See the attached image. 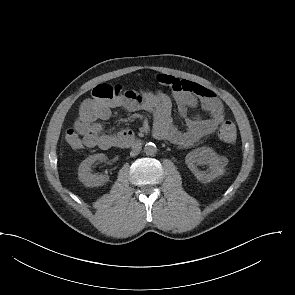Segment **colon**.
Returning <instances> with one entry per match:
<instances>
[{"instance_id":"1","label":"colon","mask_w":295,"mask_h":295,"mask_svg":"<svg viewBox=\"0 0 295 295\" xmlns=\"http://www.w3.org/2000/svg\"><path fill=\"white\" fill-rule=\"evenodd\" d=\"M124 93L125 91L118 85L99 84L93 88L92 98L85 101L81 109L90 110L94 104L110 102ZM219 136L226 143L234 142L237 136L235 124L231 121H225L220 127Z\"/></svg>"}]
</instances>
